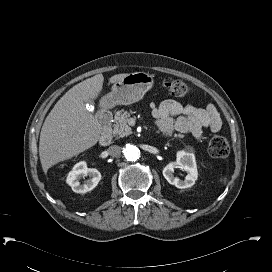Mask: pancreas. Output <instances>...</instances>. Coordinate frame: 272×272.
Listing matches in <instances>:
<instances>
[{
  "instance_id": "1",
  "label": "pancreas",
  "mask_w": 272,
  "mask_h": 272,
  "mask_svg": "<svg viewBox=\"0 0 272 272\" xmlns=\"http://www.w3.org/2000/svg\"><path fill=\"white\" fill-rule=\"evenodd\" d=\"M130 113L127 111L119 110L115 113V124L113 125L112 134L114 137H124L131 134V128L128 125ZM166 136H172L171 133ZM174 137L183 138L182 134H174Z\"/></svg>"
}]
</instances>
